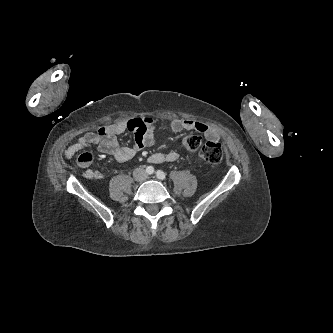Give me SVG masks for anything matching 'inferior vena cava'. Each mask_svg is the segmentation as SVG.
<instances>
[{"label":"inferior vena cava","instance_id":"obj_1","mask_svg":"<svg viewBox=\"0 0 333 333\" xmlns=\"http://www.w3.org/2000/svg\"><path fill=\"white\" fill-rule=\"evenodd\" d=\"M133 177L136 181L143 182L147 179V173L143 168H136L133 171Z\"/></svg>","mask_w":333,"mask_h":333}]
</instances>
